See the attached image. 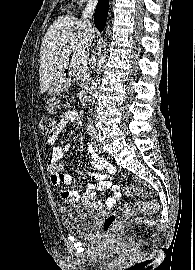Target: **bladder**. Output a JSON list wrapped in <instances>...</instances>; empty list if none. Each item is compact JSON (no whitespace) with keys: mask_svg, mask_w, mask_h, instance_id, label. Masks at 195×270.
Masks as SVG:
<instances>
[{"mask_svg":"<svg viewBox=\"0 0 195 270\" xmlns=\"http://www.w3.org/2000/svg\"><path fill=\"white\" fill-rule=\"evenodd\" d=\"M98 208L92 205L62 207L59 216L64 230L72 235L87 236L94 227Z\"/></svg>","mask_w":195,"mask_h":270,"instance_id":"bladder-1","label":"bladder"}]
</instances>
